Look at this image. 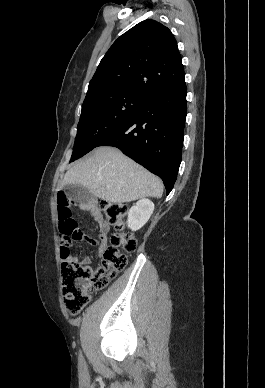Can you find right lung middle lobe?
Returning a JSON list of instances; mask_svg holds the SVG:
<instances>
[{"label": "right lung middle lobe", "instance_id": "right-lung-middle-lobe-1", "mask_svg": "<svg viewBox=\"0 0 265 388\" xmlns=\"http://www.w3.org/2000/svg\"><path fill=\"white\" fill-rule=\"evenodd\" d=\"M143 97L111 90H101L86 96L70 162L97 147L103 138L137 110Z\"/></svg>", "mask_w": 265, "mask_h": 388}]
</instances>
